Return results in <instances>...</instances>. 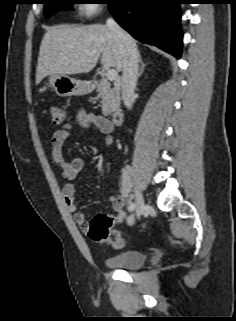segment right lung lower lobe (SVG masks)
I'll return each instance as SVG.
<instances>
[{"label":"right lung lower lobe","instance_id":"right-lung-lower-lobe-1","mask_svg":"<svg viewBox=\"0 0 236 321\" xmlns=\"http://www.w3.org/2000/svg\"><path fill=\"white\" fill-rule=\"evenodd\" d=\"M118 24L137 40L180 58L182 32L177 0H110Z\"/></svg>","mask_w":236,"mask_h":321}]
</instances>
